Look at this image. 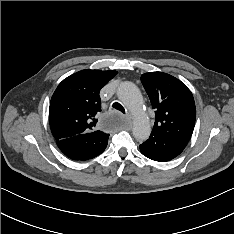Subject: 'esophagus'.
<instances>
[{"mask_svg":"<svg viewBox=\"0 0 234 234\" xmlns=\"http://www.w3.org/2000/svg\"><path fill=\"white\" fill-rule=\"evenodd\" d=\"M128 123L131 124V119L130 117H127Z\"/></svg>","mask_w":234,"mask_h":234,"instance_id":"1","label":"esophagus"}]
</instances>
